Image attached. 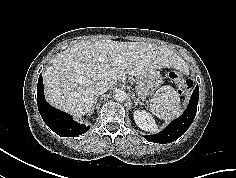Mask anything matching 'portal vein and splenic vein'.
Listing matches in <instances>:
<instances>
[{"label": "portal vein and splenic vein", "instance_id": "obj_1", "mask_svg": "<svg viewBox=\"0 0 236 178\" xmlns=\"http://www.w3.org/2000/svg\"><path fill=\"white\" fill-rule=\"evenodd\" d=\"M122 62H123V59L122 57L119 56L114 60V65H120Z\"/></svg>", "mask_w": 236, "mask_h": 178}]
</instances>
